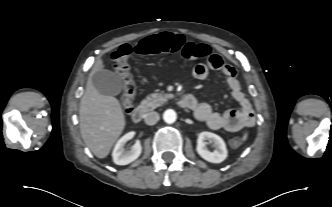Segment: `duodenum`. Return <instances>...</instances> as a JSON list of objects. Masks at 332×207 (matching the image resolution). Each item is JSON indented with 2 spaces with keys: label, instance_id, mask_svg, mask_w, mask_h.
Returning a JSON list of instances; mask_svg holds the SVG:
<instances>
[{
  "label": "duodenum",
  "instance_id": "1",
  "mask_svg": "<svg viewBox=\"0 0 332 207\" xmlns=\"http://www.w3.org/2000/svg\"><path fill=\"white\" fill-rule=\"evenodd\" d=\"M196 102V99L193 95L191 94H186L183 97H181L178 101L180 107L182 108H191L192 106H194ZM147 108L146 106H139L136 109L133 110L132 114H131V118L135 123H139L141 122L146 114Z\"/></svg>",
  "mask_w": 332,
  "mask_h": 207
}]
</instances>
